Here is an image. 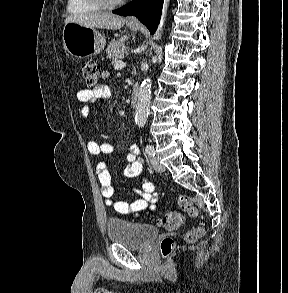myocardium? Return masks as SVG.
<instances>
[{"label":"myocardium","mask_w":288,"mask_h":293,"mask_svg":"<svg viewBox=\"0 0 288 293\" xmlns=\"http://www.w3.org/2000/svg\"><path fill=\"white\" fill-rule=\"evenodd\" d=\"M102 7H114L122 4L125 0H92Z\"/></svg>","instance_id":"1"}]
</instances>
